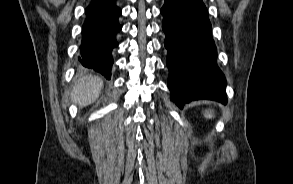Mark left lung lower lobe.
Segmentation results:
<instances>
[{
    "label": "left lung lower lobe",
    "mask_w": 293,
    "mask_h": 184,
    "mask_svg": "<svg viewBox=\"0 0 293 184\" xmlns=\"http://www.w3.org/2000/svg\"><path fill=\"white\" fill-rule=\"evenodd\" d=\"M161 13L171 99L180 108L200 99L225 104L226 80L217 66V50L203 1L165 0Z\"/></svg>",
    "instance_id": "left-lung-lower-lobe-1"
}]
</instances>
